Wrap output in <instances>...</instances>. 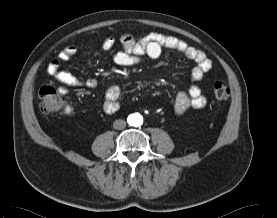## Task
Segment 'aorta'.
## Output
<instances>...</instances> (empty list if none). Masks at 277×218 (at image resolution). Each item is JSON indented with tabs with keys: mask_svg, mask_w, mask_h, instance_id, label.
Returning a JSON list of instances; mask_svg holds the SVG:
<instances>
[{
	"mask_svg": "<svg viewBox=\"0 0 277 218\" xmlns=\"http://www.w3.org/2000/svg\"><path fill=\"white\" fill-rule=\"evenodd\" d=\"M142 120H143V118L139 113H134V114L130 115V117H129L130 124L133 126L141 125Z\"/></svg>",
	"mask_w": 277,
	"mask_h": 218,
	"instance_id": "762f6f07",
	"label": "aorta"
}]
</instances>
